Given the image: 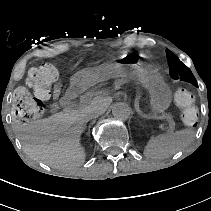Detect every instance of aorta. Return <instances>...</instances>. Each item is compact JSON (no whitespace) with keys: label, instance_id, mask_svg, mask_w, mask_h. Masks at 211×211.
Returning <instances> with one entry per match:
<instances>
[{"label":"aorta","instance_id":"762f6f07","mask_svg":"<svg viewBox=\"0 0 211 211\" xmlns=\"http://www.w3.org/2000/svg\"><path fill=\"white\" fill-rule=\"evenodd\" d=\"M112 115L118 120H127L131 115L130 107L124 102H118L112 108Z\"/></svg>","mask_w":211,"mask_h":211}]
</instances>
